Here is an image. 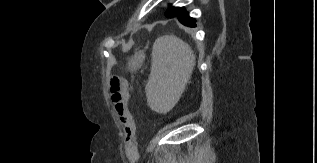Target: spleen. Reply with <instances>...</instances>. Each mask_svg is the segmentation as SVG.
Instances as JSON below:
<instances>
[{
  "instance_id": "3e777b00",
  "label": "spleen",
  "mask_w": 317,
  "mask_h": 163,
  "mask_svg": "<svg viewBox=\"0 0 317 163\" xmlns=\"http://www.w3.org/2000/svg\"><path fill=\"white\" fill-rule=\"evenodd\" d=\"M194 66L195 56L186 42L174 35L157 38L145 88L150 107L158 113L169 112L183 93Z\"/></svg>"
}]
</instances>
